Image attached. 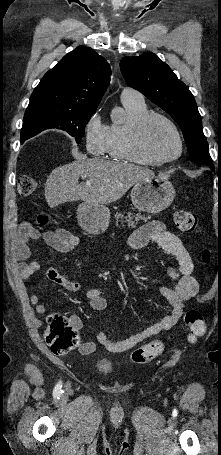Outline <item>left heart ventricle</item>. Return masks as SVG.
<instances>
[{
    "instance_id": "b2bd125f",
    "label": "left heart ventricle",
    "mask_w": 221,
    "mask_h": 455,
    "mask_svg": "<svg viewBox=\"0 0 221 455\" xmlns=\"http://www.w3.org/2000/svg\"><path fill=\"white\" fill-rule=\"evenodd\" d=\"M146 144L151 152L159 158L173 157L179 150L174 132L161 120H155L148 127Z\"/></svg>"
}]
</instances>
